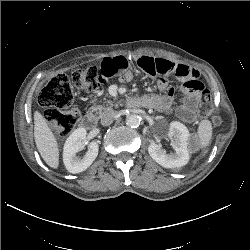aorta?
Here are the masks:
<instances>
[{"mask_svg":"<svg viewBox=\"0 0 250 250\" xmlns=\"http://www.w3.org/2000/svg\"><path fill=\"white\" fill-rule=\"evenodd\" d=\"M126 125L131 128H136L140 125V117L136 114H130L126 117Z\"/></svg>","mask_w":250,"mask_h":250,"instance_id":"762f6f07","label":"aorta"}]
</instances>
